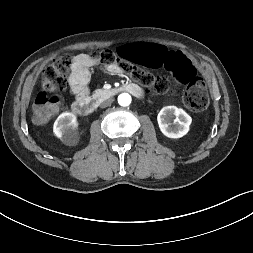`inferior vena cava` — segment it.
<instances>
[{
  "label": "inferior vena cava",
  "instance_id": "1",
  "mask_svg": "<svg viewBox=\"0 0 253 253\" xmlns=\"http://www.w3.org/2000/svg\"><path fill=\"white\" fill-rule=\"evenodd\" d=\"M113 102V99H108V100H105L103 101L101 104H100V107L101 108H105V107H108L112 104Z\"/></svg>",
  "mask_w": 253,
  "mask_h": 253
}]
</instances>
